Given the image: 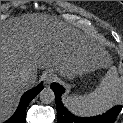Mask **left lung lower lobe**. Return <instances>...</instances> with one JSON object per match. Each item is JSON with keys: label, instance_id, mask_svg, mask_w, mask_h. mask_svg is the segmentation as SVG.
<instances>
[{"label": "left lung lower lobe", "instance_id": "obj_1", "mask_svg": "<svg viewBox=\"0 0 123 123\" xmlns=\"http://www.w3.org/2000/svg\"><path fill=\"white\" fill-rule=\"evenodd\" d=\"M51 89L55 93L56 109H57V121L58 123H114L116 117L120 113L122 106L118 105L113 107L107 113L90 118H80L71 114L64 106L61 101V95L64 93V88L57 84L52 83Z\"/></svg>", "mask_w": 123, "mask_h": 123}]
</instances>
